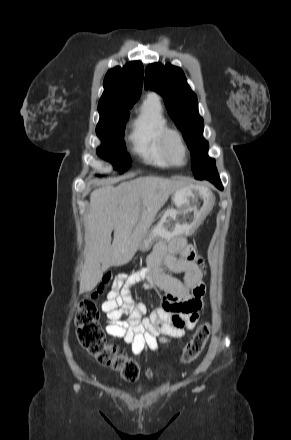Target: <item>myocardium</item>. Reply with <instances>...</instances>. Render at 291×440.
<instances>
[{
	"label": "myocardium",
	"mask_w": 291,
	"mask_h": 440,
	"mask_svg": "<svg viewBox=\"0 0 291 440\" xmlns=\"http://www.w3.org/2000/svg\"><path fill=\"white\" fill-rule=\"evenodd\" d=\"M163 142V151L164 155L169 162V164L174 166H182L187 161L188 149L182 134L171 128H167L162 137ZM177 145V147L181 151L182 158L181 160H177L173 155V145Z\"/></svg>",
	"instance_id": "f54148a6"
}]
</instances>
